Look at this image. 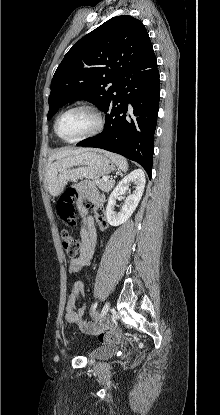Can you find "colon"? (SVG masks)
Instances as JSON below:
<instances>
[{
  "mask_svg": "<svg viewBox=\"0 0 220 415\" xmlns=\"http://www.w3.org/2000/svg\"><path fill=\"white\" fill-rule=\"evenodd\" d=\"M77 196V192L73 188L66 190L57 203V212L60 219L63 223L73 228L75 226V209H74V199ZM94 212L97 217L102 218L105 215L103 207H94ZM62 246L66 252L67 257L70 260H76L80 256V244L79 242L72 237L69 232L65 229L61 232ZM76 282L71 284V292L75 289ZM101 340L113 339L114 335L110 332H105L99 335Z\"/></svg>",
  "mask_w": 220,
  "mask_h": 415,
  "instance_id": "5ec220e1",
  "label": "colon"
}]
</instances>
